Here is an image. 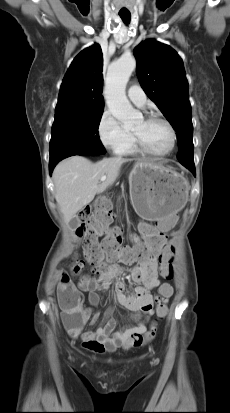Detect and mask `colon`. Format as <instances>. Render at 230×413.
Here are the masks:
<instances>
[{"label": "colon", "instance_id": "1", "mask_svg": "<svg viewBox=\"0 0 230 413\" xmlns=\"http://www.w3.org/2000/svg\"><path fill=\"white\" fill-rule=\"evenodd\" d=\"M111 195L109 192H100L99 201L95 209L91 210L90 205H85L80 209L79 221L80 226L76 234L79 243L83 247L86 261L93 266V272L99 277L107 270L105 259H119L125 263L144 262L150 259H158L161 265L157 266V273L164 276L167 280H172L174 247L165 242V236L162 232L158 235L149 237L144 243L135 247H121L123 229L119 225H112L113 211L109 202ZM106 231V235L98 244L97 238ZM83 261L75 259L69 268V274L78 275L83 269ZM69 274L66 273L61 278V284H69ZM162 296L156 298V314L160 320L167 313L166 302ZM80 297L72 292L63 293L60 296V303L63 308L71 313L74 325L81 321L79 312ZM157 331V324L154 323L144 335L133 339L131 346H141L152 339Z\"/></svg>", "mask_w": 230, "mask_h": 413}]
</instances>
